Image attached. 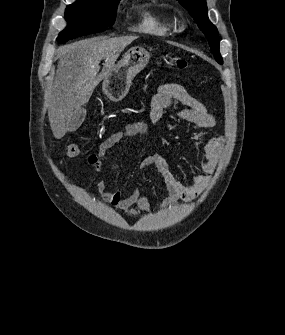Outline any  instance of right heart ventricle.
Wrapping results in <instances>:
<instances>
[{"instance_id": "right-heart-ventricle-1", "label": "right heart ventricle", "mask_w": 285, "mask_h": 335, "mask_svg": "<svg viewBox=\"0 0 285 335\" xmlns=\"http://www.w3.org/2000/svg\"><path fill=\"white\" fill-rule=\"evenodd\" d=\"M140 31L153 36H163L166 33V28L158 21L157 17L146 12L139 27Z\"/></svg>"}]
</instances>
